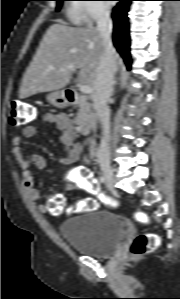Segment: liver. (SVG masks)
I'll use <instances>...</instances> for the list:
<instances>
[{"label": "liver", "mask_w": 180, "mask_h": 299, "mask_svg": "<svg viewBox=\"0 0 180 299\" xmlns=\"http://www.w3.org/2000/svg\"><path fill=\"white\" fill-rule=\"evenodd\" d=\"M104 43L97 28L71 27L62 21L51 25L43 36L29 67L22 79L19 91L21 99L37 93L63 89L79 70L78 82L94 91L96 72ZM116 70L120 57L114 50ZM53 66L54 70H49Z\"/></svg>", "instance_id": "liver-1"}]
</instances>
